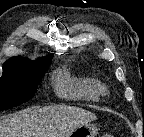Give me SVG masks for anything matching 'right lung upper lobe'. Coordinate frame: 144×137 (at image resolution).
I'll use <instances>...</instances> for the list:
<instances>
[{
  "label": "right lung upper lobe",
  "instance_id": "cb5924a9",
  "mask_svg": "<svg viewBox=\"0 0 144 137\" xmlns=\"http://www.w3.org/2000/svg\"><path fill=\"white\" fill-rule=\"evenodd\" d=\"M52 55H48L46 58H40L36 61H30L26 58H21V57H13L9 60H7L4 63L3 67H10V66H21V65H33V66H38L45 64L49 61H51Z\"/></svg>",
  "mask_w": 144,
  "mask_h": 137
}]
</instances>
